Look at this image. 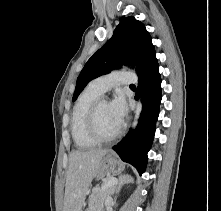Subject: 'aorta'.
Wrapping results in <instances>:
<instances>
[{
  "mask_svg": "<svg viewBox=\"0 0 221 211\" xmlns=\"http://www.w3.org/2000/svg\"><path fill=\"white\" fill-rule=\"evenodd\" d=\"M141 111H142V103L139 100L138 103H137L136 111L134 113V118H133V122H132V128H135L137 126L138 120H139V117H140V114H141Z\"/></svg>",
  "mask_w": 221,
  "mask_h": 211,
  "instance_id": "1",
  "label": "aorta"
}]
</instances>
